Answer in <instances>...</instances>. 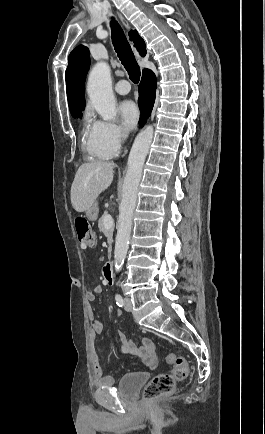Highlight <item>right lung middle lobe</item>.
Returning <instances> with one entry per match:
<instances>
[{
  "instance_id": "dd1d6c3e",
  "label": "right lung middle lobe",
  "mask_w": 265,
  "mask_h": 434,
  "mask_svg": "<svg viewBox=\"0 0 265 434\" xmlns=\"http://www.w3.org/2000/svg\"><path fill=\"white\" fill-rule=\"evenodd\" d=\"M85 102H77L74 104H70V112L74 118H81L82 117V111L84 110Z\"/></svg>"
}]
</instances>
